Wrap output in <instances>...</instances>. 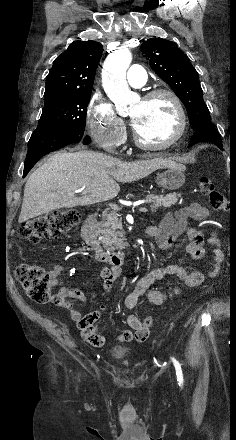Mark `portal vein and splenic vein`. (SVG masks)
I'll use <instances>...</instances> for the list:
<instances>
[{"mask_svg": "<svg viewBox=\"0 0 236 440\" xmlns=\"http://www.w3.org/2000/svg\"><path fill=\"white\" fill-rule=\"evenodd\" d=\"M76 192H79V191L77 190ZM110 207H112V209H114V210H119L120 209L116 204H110ZM139 211L147 212L148 209L146 207H140Z\"/></svg>", "mask_w": 236, "mask_h": 440, "instance_id": "obj_1", "label": "portal vein and splenic vein"}]
</instances>
